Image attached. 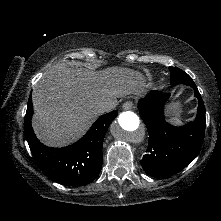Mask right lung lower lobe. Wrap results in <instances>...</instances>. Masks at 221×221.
I'll list each match as a JSON object with an SVG mask.
<instances>
[{
  "mask_svg": "<svg viewBox=\"0 0 221 221\" xmlns=\"http://www.w3.org/2000/svg\"><path fill=\"white\" fill-rule=\"evenodd\" d=\"M31 95L25 115V135L36 164L50 179L69 186L91 183L102 167V145L105 134L118 111L100 116L79 141L64 148H50L35 136L31 117Z\"/></svg>",
  "mask_w": 221,
  "mask_h": 221,
  "instance_id": "obj_1",
  "label": "right lung lower lobe"
}]
</instances>
